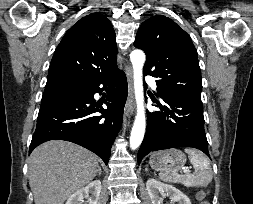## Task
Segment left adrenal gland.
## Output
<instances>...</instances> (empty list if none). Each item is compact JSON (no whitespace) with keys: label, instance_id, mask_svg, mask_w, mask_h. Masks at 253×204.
Returning a JSON list of instances; mask_svg holds the SVG:
<instances>
[{"label":"left adrenal gland","instance_id":"obj_1","mask_svg":"<svg viewBox=\"0 0 253 204\" xmlns=\"http://www.w3.org/2000/svg\"><path fill=\"white\" fill-rule=\"evenodd\" d=\"M145 171H148V168H147V167L145 168Z\"/></svg>","mask_w":253,"mask_h":204}]
</instances>
